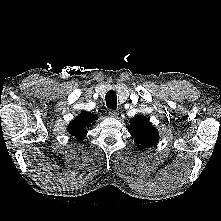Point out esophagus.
Listing matches in <instances>:
<instances>
[{
  "mask_svg": "<svg viewBox=\"0 0 221 221\" xmlns=\"http://www.w3.org/2000/svg\"><path fill=\"white\" fill-rule=\"evenodd\" d=\"M109 115L113 118H117L119 115V112L117 110H110Z\"/></svg>",
  "mask_w": 221,
  "mask_h": 221,
  "instance_id": "34e87169",
  "label": "esophagus"
}]
</instances>
